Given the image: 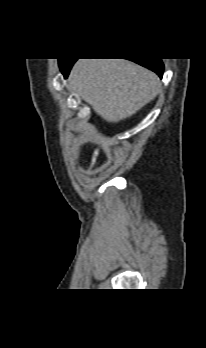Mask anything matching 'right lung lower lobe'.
Returning <instances> with one entry per match:
<instances>
[{
    "label": "right lung lower lobe",
    "mask_w": 206,
    "mask_h": 348,
    "mask_svg": "<svg viewBox=\"0 0 206 348\" xmlns=\"http://www.w3.org/2000/svg\"><path fill=\"white\" fill-rule=\"evenodd\" d=\"M77 59H70V60H63L59 66L60 69L62 71V73L64 74L65 77L68 76L69 71L72 67V65L74 64V62ZM131 61H134L154 72H156L160 78H162L163 75V69H164V65L161 61V59H157V58H139V59H130Z\"/></svg>",
    "instance_id": "98d812e1"
}]
</instances>
